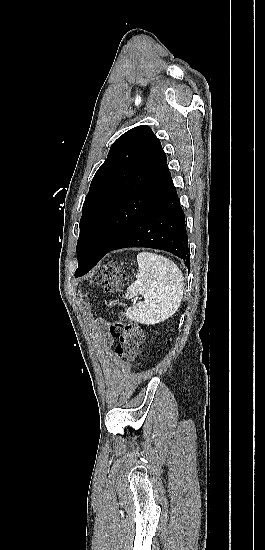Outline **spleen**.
I'll return each mask as SVG.
<instances>
[{
	"label": "spleen",
	"mask_w": 265,
	"mask_h": 550,
	"mask_svg": "<svg viewBox=\"0 0 265 550\" xmlns=\"http://www.w3.org/2000/svg\"><path fill=\"white\" fill-rule=\"evenodd\" d=\"M136 281L126 291L125 298L143 295L144 301L126 310V317L145 325L159 323L179 308L184 291V277L168 258L151 252L137 255Z\"/></svg>",
	"instance_id": "obj_1"
}]
</instances>
